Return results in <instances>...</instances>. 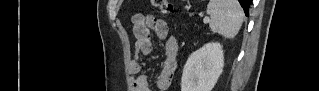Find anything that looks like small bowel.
Returning a JSON list of instances; mask_svg holds the SVG:
<instances>
[{"mask_svg": "<svg viewBox=\"0 0 319 91\" xmlns=\"http://www.w3.org/2000/svg\"><path fill=\"white\" fill-rule=\"evenodd\" d=\"M151 30L162 41L163 48V60L160 75L156 80V87L159 91H166L172 83L177 68L178 40L175 36L169 35V28L164 20L141 13L133 16L136 56L131 62L130 71L132 74H138L141 70L140 57L152 53ZM132 90L151 91L148 77L146 75L134 77L132 79Z\"/></svg>", "mask_w": 319, "mask_h": 91, "instance_id": "1", "label": "small bowel"}]
</instances>
